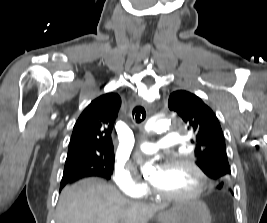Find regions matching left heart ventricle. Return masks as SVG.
<instances>
[{
    "instance_id": "obj_1",
    "label": "left heart ventricle",
    "mask_w": 267,
    "mask_h": 223,
    "mask_svg": "<svg viewBox=\"0 0 267 223\" xmlns=\"http://www.w3.org/2000/svg\"><path fill=\"white\" fill-rule=\"evenodd\" d=\"M196 186L197 178L194 172L184 165L164 167L162 178L154 184L157 190L165 194H186L192 192Z\"/></svg>"
}]
</instances>
